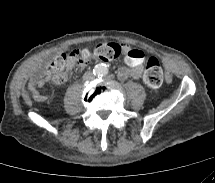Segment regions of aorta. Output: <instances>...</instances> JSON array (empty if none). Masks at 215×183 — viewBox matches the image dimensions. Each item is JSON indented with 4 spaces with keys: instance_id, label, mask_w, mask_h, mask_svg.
I'll return each mask as SVG.
<instances>
[{
    "instance_id": "1",
    "label": "aorta",
    "mask_w": 215,
    "mask_h": 183,
    "mask_svg": "<svg viewBox=\"0 0 215 183\" xmlns=\"http://www.w3.org/2000/svg\"><path fill=\"white\" fill-rule=\"evenodd\" d=\"M94 74L97 76H105L108 73V67L106 64H97L93 70Z\"/></svg>"
}]
</instances>
